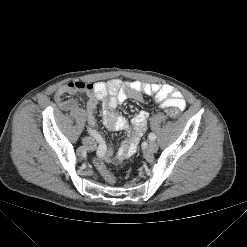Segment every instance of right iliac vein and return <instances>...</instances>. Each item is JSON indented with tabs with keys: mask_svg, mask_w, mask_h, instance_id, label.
I'll return each instance as SVG.
<instances>
[{
	"mask_svg": "<svg viewBox=\"0 0 247 247\" xmlns=\"http://www.w3.org/2000/svg\"><path fill=\"white\" fill-rule=\"evenodd\" d=\"M82 143L85 147L89 149H94L95 148V141L91 137H84L82 139Z\"/></svg>",
	"mask_w": 247,
	"mask_h": 247,
	"instance_id": "1",
	"label": "right iliac vein"
}]
</instances>
